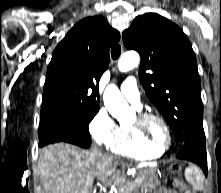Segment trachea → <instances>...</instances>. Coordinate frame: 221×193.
Masks as SVG:
<instances>
[{
	"mask_svg": "<svg viewBox=\"0 0 221 193\" xmlns=\"http://www.w3.org/2000/svg\"><path fill=\"white\" fill-rule=\"evenodd\" d=\"M121 54L120 45H116L111 49V56L114 60H117Z\"/></svg>",
	"mask_w": 221,
	"mask_h": 193,
	"instance_id": "obj_1",
	"label": "trachea"
}]
</instances>
